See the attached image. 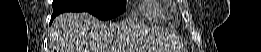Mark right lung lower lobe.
<instances>
[{
  "label": "right lung lower lobe",
  "instance_id": "1",
  "mask_svg": "<svg viewBox=\"0 0 261 52\" xmlns=\"http://www.w3.org/2000/svg\"><path fill=\"white\" fill-rule=\"evenodd\" d=\"M57 15H58L57 13H53V15H52V17H51L50 24L52 23L53 19H54Z\"/></svg>",
  "mask_w": 261,
  "mask_h": 52
}]
</instances>
